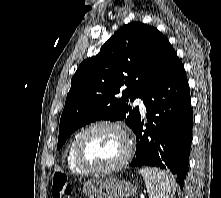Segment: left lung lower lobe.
Returning a JSON list of instances; mask_svg holds the SVG:
<instances>
[{
    "label": "left lung lower lobe",
    "mask_w": 221,
    "mask_h": 198,
    "mask_svg": "<svg viewBox=\"0 0 221 198\" xmlns=\"http://www.w3.org/2000/svg\"><path fill=\"white\" fill-rule=\"evenodd\" d=\"M143 102L148 123L143 129L140 117L133 129L137 149L130 166L148 165L168 170L177 176L182 189L189 163L193 112L184 66L176 52Z\"/></svg>",
    "instance_id": "0a47b994"
}]
</instances>
